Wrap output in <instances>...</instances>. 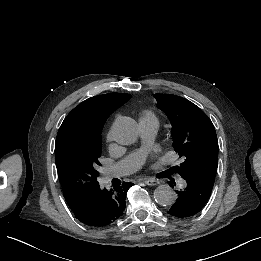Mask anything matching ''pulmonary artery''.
<instances>
[{"label": "pulmonary artery", "mask_w": 261, "mask_h": 261, "mask_svg": "<svg viewBox=\"0 0 261 261\" xmlns=\"http://www.w3.org/2000/svg\"><path fill=\"white\" fill-rule=\"evenodd\" d=\"M140 141L138 148L135 150V158H126L110 168L105 169L104 175L106 179L120 177L128 173L131 169L140 170L142 168V161L146 158V155L153 150V141L155 140V134L157 132V122L153 120H140Z\"/></svg>", "instance_id": "e3ab8cb5"}]
</instances>
